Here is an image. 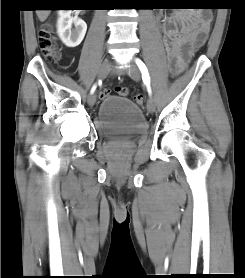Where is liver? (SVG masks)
Returning <instances> with one entry per match:
<instances>
[{"label": "liver", "mask_w": 245, "mask_h": 278, "mask_svg": "<svg viewBox=\"0 0 245 278\" xmlns=\"http://www.w3.org/2000/svg\"><path fill=\"white\" fill-rule=\"evenodd\" d=\"M36 14H37L39 20L41 22H44L48 18L49 14H50V10H37Z\"/></svg>", "instance_id": "6515ba94"}]
</instances>
